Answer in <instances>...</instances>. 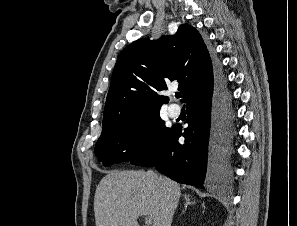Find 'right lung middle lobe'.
Masks as SVG:
<instances>
[{"label": "right lung middle lobe", "mask_w": 297, "mask_h": 226, "mask_svg": "<svg viewBox=\"0 0 297 226\" xmlns=\"http://www.w3.org/2000/svg\"><path fill=\"white\" fill-rule=\"evenodd\" d=\"M160 110L146 111L114 122L104 120L95 154L105 166L122 161H137L151 153L171 128L159 116Z\"/></svg>", "instance_id": "1"}]
</instances>
